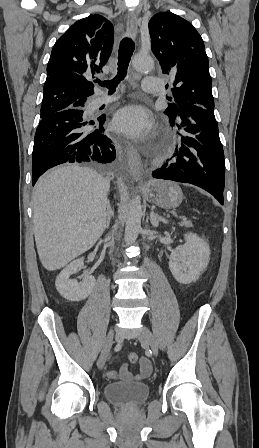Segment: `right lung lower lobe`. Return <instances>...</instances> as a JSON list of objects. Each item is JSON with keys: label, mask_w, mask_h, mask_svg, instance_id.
Wrapping results in <instances>:
<instances>
[{"label": "right lung lower lobe", "mask_w": 259, "mask_h": 448, "mask_svg": "<svg viewBox=\"0 0 259 448\" xmlns=\"http://www.w3.org/2000/svg\"><path fill=\"white\" fill-rule=\"evenodd\" d=\"M106 116L61 111L44 117L36 129L32 154V183L49 168L69 162L110 163L116 157L111 139L104 134Z\"/></svg>", "instance_id": "right-lung-lower-lobe-1"}]
</instances>
